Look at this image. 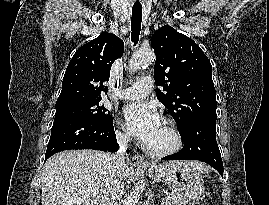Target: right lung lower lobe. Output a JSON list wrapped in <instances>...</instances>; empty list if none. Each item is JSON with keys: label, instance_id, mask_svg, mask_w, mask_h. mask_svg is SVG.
<instances>
[{"label": "right lung lower lobe", "instance_id": "obj_1", "mask_svg": "<svg viewBox=\"0 0 269 205\" xmlns=\"http://www.w3.org/2000/svg\"><path fill=\"white\" fill-rule=\"evenodd\" d=\"M118 148L112 121L100 123L82 118H64L54 120L45 160L69 149L115 152Z\"/></svg>", "mask_w": 269, "mask_h": 205}]
</instances>
